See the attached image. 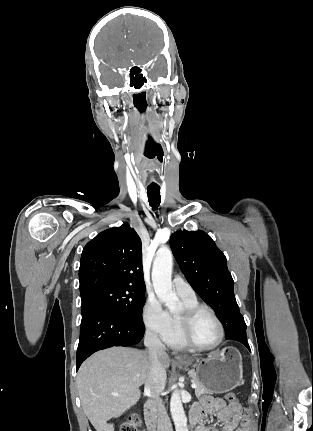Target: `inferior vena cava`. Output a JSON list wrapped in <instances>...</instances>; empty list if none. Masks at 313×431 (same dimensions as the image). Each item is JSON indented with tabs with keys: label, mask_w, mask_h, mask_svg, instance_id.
Returning <instances> with one entry per match:
<instances>
[{
	"label": "inferior vena cava",
	"mask_w": 313,
	"mask_h": 431,
	"mask_svg": "<svg viewBox=\"0 0 313 431\" xmlns=\"http://www.w3.org/2000/svg\"><path fill=\"white\" fill-rule=\"evenodd\" d=\"M144 345L148 349L150 358L149 372L145 380V391L150 394L148 403L157 419V431H172L169 417L160 398L166 383V371L161 363V358L166 355V347L157 334L151 330L146 331Z\"/></svg>",
	"instance_id": "1"
}]
</instances>
